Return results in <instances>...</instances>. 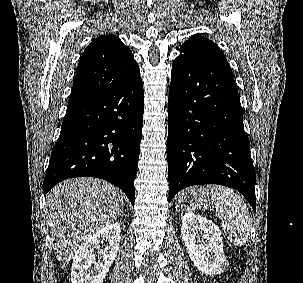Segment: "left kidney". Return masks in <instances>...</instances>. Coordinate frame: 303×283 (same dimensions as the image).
I'll return each instance as SVG.
<instances>
[{"instance_id": "1", "label": "left kidney", "mask_w": 303, "mask_h": 283, "mask_svg": "<svg viewBox=\"0 0 303 283\" xmlns=\"http://www.w3.org/2000/svg\"><path fill=\"white\" fill-rule=\"evenodd\" d=\"M182 240L194 265L207 275L220 274L226 266L221 232L212 221L193 213L184 215Z\"/></svg>"}]
</instances>
